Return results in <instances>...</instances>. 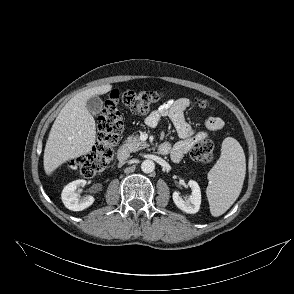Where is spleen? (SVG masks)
I'll return each mask as SVG.
<instances>
[{"label": "spleen", "mask_w": 294, "mask_h": 294, "mask_svg": "<svg viewBox=\"0 0 294 294\" xmlns=\"http://www.w3.org/2000/svg\"><path fill=\"white\" fill-rule=\"evenodd\" d=\"M246 173V160L239 142L227 137L223 140L221 156L208 173L206 190L210 212L217 217L225 213L238 198Z\"/></svg>", "instance_id": "spleen-1"}]
</instances>
